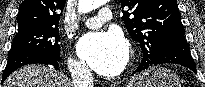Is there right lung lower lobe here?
<instances>
[{"instance_id":"98d812e1","label":"right lung lower lobe","mask_w":205,"mask_h":87,"mask_svg":"<svg viewBox=\"0 0 205 87\" xmlns=\"http://www.w3.org/2000/svg\"><path fill=\"white\" fill-rule=\"evenodd\" d=\"M41 63L52 65L55 69L59 67V60L50 58L34 52H14L8 54V62L2 75V82L17 68L26 64Z\"/></svg>"}]
</instances>
